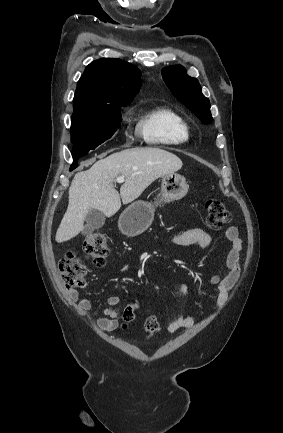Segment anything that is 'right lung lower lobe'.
Returning <instances> with one entry per match:
<instances>
[{"mask_svg":"<svg viewBox=\"0 0 283 433\" xmlns=\"http://www.w3.org/2000/svg\"><path fill=\"white\" fill-rule=\"evenodd\" d=\"M77 161H78V158H74V162H73V164L71 165L70 170H73V169H75V168L78 166Z\"/></svg>","mask_w":283,"mask_h":433,"instance_id":"obj_1","label":"right lung lower lobe"}]
</instances>
